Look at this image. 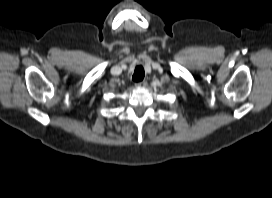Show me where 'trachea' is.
<instances>
[{
  "label": "trachea",
  "mask_w": 272,
  "mask_h": 198,
  "mask_svg": "<svg viewBox=\"0 0 272 198\" xmlns=\"http://www.w3.org/2000/svg\"><path fill=\"white\" fill-rule=\"evenodd\" d=\"M144 78V69L142 66L136 67L132 79L134 82H140Z\"/></svg>",
  "instance_id": "obj_1"
}]
</instances>
